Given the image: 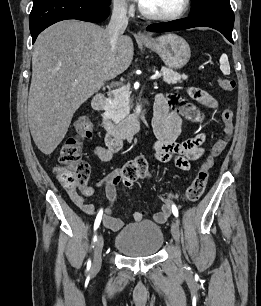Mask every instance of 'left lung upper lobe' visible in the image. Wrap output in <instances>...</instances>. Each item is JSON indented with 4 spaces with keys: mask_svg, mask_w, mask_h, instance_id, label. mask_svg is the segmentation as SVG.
I'll return each mask as SVG.
<instances>
[{
    "mask_svg": "<svg viewBox=\"0 0 261 306\" xmlns=\"http://www.w3.org/2000/svg\"><path fill=\"white\" fill-rule=\"evenodd\" d=\"M191 16H201L232 10L230 0H191Z\"/></svg>",
    "mask_w": 261,
    "mask_h": 306,
    "instance_id": "left-lung-upper-lobe-1",
    "label": "left lung upper lobe"
}]
</instances>
